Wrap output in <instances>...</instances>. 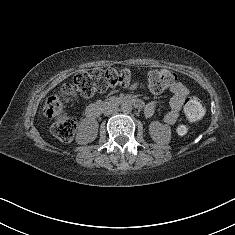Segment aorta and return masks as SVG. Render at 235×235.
<instances>
[{
  "label": "aorta",
  "instance_id": "obj_1",
  "mask_svg": "<svg viewBox=\"0 0 235 235\" xmlns=\"http://www.w3.org/2000/svg\"><path fill=\"white\" fill-rule=\"evenodd\" d=\"M121 111L124 113H130L132 111V105L129 103H123L121 105Z\"/></svg>",
  "mask_w": 235,
  "mask_h": 235
}]
</instances>
